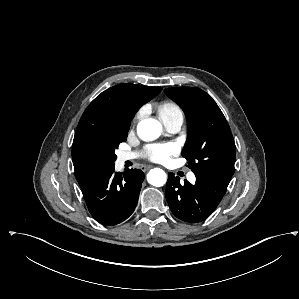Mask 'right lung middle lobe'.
Wrapping results in <instances>:
<instances>
[{
	"mask_svg": "<svg viewBox=\"0 0 299 299\" xmlns=\"http://www.w3.org/2000/svg\"><path fill=\"white\" fill-rule=\"evenodd\" d=\"M129 126L109 127L99 136L89 139L81 146L83 166L87 179L91 180L102 171L114 166L117 156L114 151L126 141Z\"/></svg>",
	"mask_w": 299,
	"mask_h": 299,
	"instance_id": "dd1d6c3e",
	"label": "right lung middle lobe"
}]
</instances>
